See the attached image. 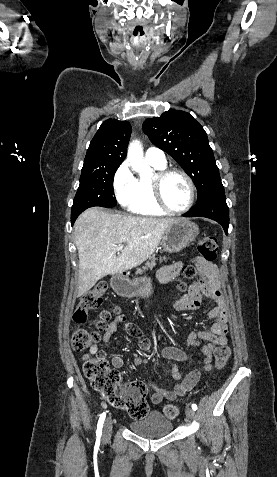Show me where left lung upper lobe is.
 I'll return each instance as SVG.
<instances>
[{
    "instance_id": "1",
    "label": "left lung upper lobe",
    "mask_w": 277,
    "mask_h": 477,
    "mask_svg": "<svg viewBox=\"0 0 277 477\" xmlns=\"http://www.w3.org/2000/svg\"><path fill=\"white\" fill-rule=\"evenodd\" d=\"M143 130L151 142L171 155L188 173L201 202L221 182L219 169L203 127L187 112L169 110L149 118Z\"/></svg>"
}]
</instances>
